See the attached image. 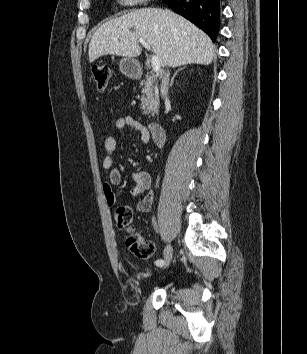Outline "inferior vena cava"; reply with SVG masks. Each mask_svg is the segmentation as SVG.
<instances>
[{"instance_id":"1","label":"inferior vena cava","mask_w":307,"mask_h":354,"mask_svg":"<svg viewBox=\"0 0 307 354\" xmlns=\"http://www.w3.org/2000/svg\"><path fill=\"white\" fill-rule=\"evenodd\" d=\"M168 88H169V71H167L164 74V77H163L162 83H161V95L163 98H166Z\"/></svg>"}]
</instances>
